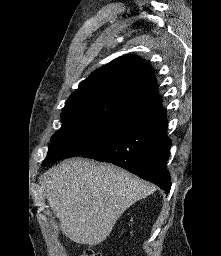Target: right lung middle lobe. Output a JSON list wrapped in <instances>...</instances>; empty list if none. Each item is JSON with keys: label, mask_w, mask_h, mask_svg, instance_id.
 <instances>
[{"label": "right lung middle lobe", "mask_w": 221, "mask_h": 256, "mask_svg": "<svg viewBox=\"0 0 221 256\" xmlns=\"http://www.w3.org/2000/svg\"><path fill=\"white\" fill-rule=\"evenodd\" d=\"M62 128L51 138L43 165L81 155L105 139L145 122L144 115L103 106L62 113Z\"/></svg>", "instance_id": "right-lung-middle-lobe-1"}]
</instances>
